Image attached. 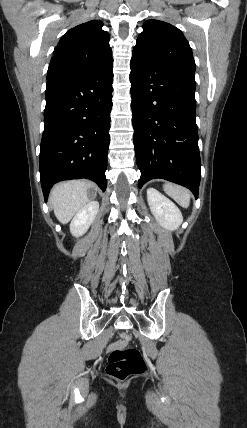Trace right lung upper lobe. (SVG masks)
<instances>
[{
  "label": "right lung upper lobe",
  "instance_id": "right-lung-upper-lobe-1",
  "mask_svg": "<svg viewBox=\"0 0 247 428\" xmlns=\"http://www.w3.org/2000/svg\"><path fill=\"white\" fill-rule=\"evenodd\" d=\"M102 26V22L92 20L64 34L51 58L47 83L83 75L112 58L110 35Z\"/></svg>",
  "mask_w": 247,
  "mask_h": 428
}]
</instances>
